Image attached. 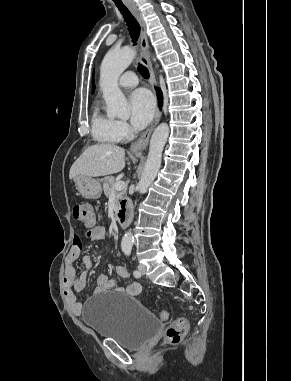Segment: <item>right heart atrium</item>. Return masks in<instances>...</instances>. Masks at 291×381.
<instances>
[{
	"instance_id": "right-heart-atrium-1",
	"label": "right heart atrium",
	"mask_w": 291,
	"mask_h": 381,
	"mask_svg": "<svg viewBox=\"0 0 291 381\" xmlns=\"http://www.w3.org/2000/svg\"><path fill=\"white\" fill-rule=\"evenodd\" d=\"M117 125L118 130L123 137H127L130 134L131 129L125 121H118Z\"/></svg>"
}]
</instances>
